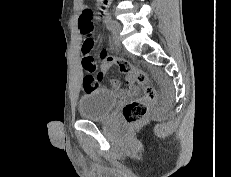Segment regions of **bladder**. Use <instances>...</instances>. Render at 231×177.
<instances>
[{
  "label": "bladder",
  "instance_id": "obj_1",
  "mask_svg": "<svg viewBox=\"0 0 231 177\" xmlns=\"http://www.w3.org/2000/svg\"><path fill=\"white\" fill-rule=\"evenodd\" d=\"M117 103V95L107 89H94L82 95L78 102L81 119L98 121L106 119Z\"/></svg>",
  "mask_w": 231,
  "mask_h": 177
}]
</instances>
